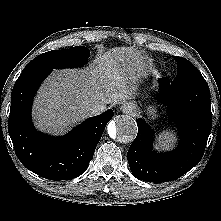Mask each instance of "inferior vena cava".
Wrapping results in <instances>:
<instances>
[{
	"mask_svg": "<svg viewBox=\"0 0 221 221\" xmlns=\"http://www.w3.org/2000/svg\"><path fill=\"white\" fill-rule=\"evenodd\" d=\"M106 105L104 103H101V102H97V103H94L90 106V113L91 115H98V114H101L103 113L105 110H106Z\"/></svg>",
	"mask_w": 221,
	"mask_h": 221,
	"instance_id": "602c4592",
	"label": "inferior vena cava"
}]
</instances>
